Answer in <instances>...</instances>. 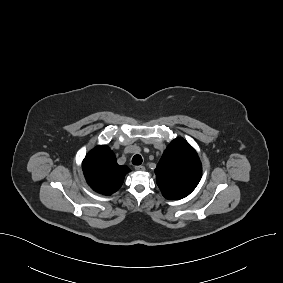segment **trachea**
Segmentation results:
<instances>
[{"label": "trachea", "instance_id": "obj_1", "mask_svg": "<svg viewBox=\"0 0 283 283\" xmlns=\"http://www.w3.org/2000/svg\"><path fill=\"white\" fill-rule=\"evenodd\" d=\"M132 164L133 165H141L142 164V157L139 154H136L133 158H132Z\"/></svg>", "mask_w": 283, "mask_h": 283}]
</instances>
